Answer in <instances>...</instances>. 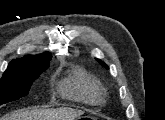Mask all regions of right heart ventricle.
<instances>
[{"mask_svg":"<svg viewBox=\"0 0 165 120\" xmlns=\"http://www.w3.org/2000/svg\"><path fill=\"white\" fill-rule=\"evenodd\" d=\"M62 96L96 104L102 99L98 82L82 69H75L59 86Z\"/></svg>","mask_w":165,"mask_h":120,"instance_id":"obj_1","label":"right heart ventricle"}]
</instances>
